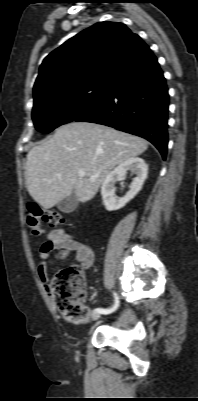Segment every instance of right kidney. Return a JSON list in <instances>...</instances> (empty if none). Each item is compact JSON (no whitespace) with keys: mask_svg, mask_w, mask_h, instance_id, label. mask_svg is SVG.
I'll use <instances>...</instances> for the list:
<instances>
[{"mask_svg":"<svg viewBox=\"0 0 198 401\" xmlns=\"http://www.w3.org/2000/svg\"><path fill=\"white\" fill-rule=\"evenodd\" d=\"M130 170L136 177L133 179L130 190L122 198L115 196V184L117 181H122L126 177L127 171ZM148 166L145 161L139 157L131 158L119 164L105 178L101 186V195L104 206L108 211H114L124 207L132 200L142 189L143 183L147 178Z\"/></svg>","mask_w":198,"mask_h":401,"instance_id":"obj_1","label":"right kidney"}]
</instances>
